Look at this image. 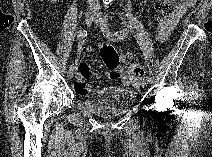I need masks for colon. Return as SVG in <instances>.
I'll return each mask as SVG.
<instances>
[{"instance_id": "1", "label": "colon", "mask_w": 212, "mask_h": 157, "mask_svg": "<svg viewBox=\"0 0 212 157\" xmlns=\"http://www.w3.org/2000/svg\"><path fill=\"white\" fill-rule=\"evenodd\" d=\"M173 2L165 0L158 2L156 5V19L160 25L163 17L171 14ZM100 56L104 66L108 72V76L112 79L121 78L125 83L140 79L145 70L139 64L136 56L129 52H120L111 45L105 44L100 47ZM99 82V73L89 68H78L77 79L75 82V90L79 94H85L94 89Z\"/></svg>"}]
</instances>
